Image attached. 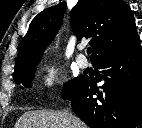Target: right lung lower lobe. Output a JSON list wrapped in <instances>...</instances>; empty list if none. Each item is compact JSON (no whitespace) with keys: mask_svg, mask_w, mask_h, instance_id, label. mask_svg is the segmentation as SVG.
Wrapping results in <instances>:
<instances>
[{"mask_svg":"<svg viewBox=\"0 0 142 128\" xmlns=\"http://www.w3.org/2000/svg\"><path fill=\"white\" fill-rule=\"evenodd\" d=\"M97 88L83 77L70 100L73 111L91 128H142V47L101 58ZM94 86V87H93Z\"/></svg>","mask_w":142,"mask_h":128,"instance_id":"1","label":"right lung lower lobe"}]
</instances>
